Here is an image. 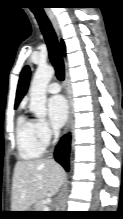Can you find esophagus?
Listing matches in <instances>:
<instances>
[{
  "instance_id": "obj_1",
  "label": "esophagus",
  "mask_w": 123,
  "mask_h": 219,
  "mask_svg": "<svg viewBox=\"0 0 123 219\" xmlns=\"http://www.w3.org/2000/svg\"><path fill=\"white\" fill-rule=\"evenodd\" d=\"M47 14L54 29L56 30L59 36V25H58V21L55 15L52 12H47ZM64 83H65V90H66V95H67V100H68V120H67L66 127H65V133H67L69 129L71 128L72 121H73V104H72V99H71V94H70L69 77H68L67 71L65 72Z\"/></svg>"
}]
</instances>
